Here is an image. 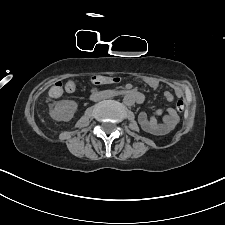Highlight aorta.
Masks as SVG:
<instances>
[{
	"label": "aorta",
	"mask_w": 225,
	"mask_h": 225,
	"mask_svg": "<svg viewBox=\"0 0 225 225\" xmlns=\"http://www.w3.org/2000/svg\"><path fill=\"white\" fill-rule=\"evenodd\" d=\"M123 103L126 105H133V103H134L133 96L130 94L125 95L123 98Z\"/></svg>",
	"instance_id": "obj_1"
}]
</instances>
